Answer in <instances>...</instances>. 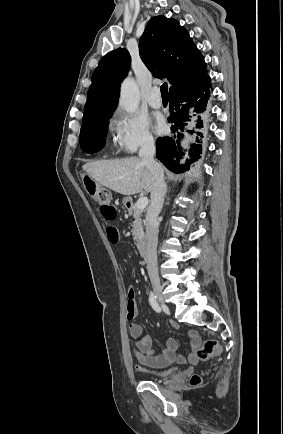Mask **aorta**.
Wrapping results in <instances>:
<instances>
[{"label": "aorta", "instance_id": "obj_1", "mask_svg": "<svg viewBox=\"0 0 283 434\" xmlns=\"http://www.w3.org/2000/svg\"><path fill=\"white\" fill-rule=\"evenodd\" d=\"M140 96L138 86L133 78H126L121 84L120 106L129 113H133L139 106Z\"/></svg>", "mask_w": 283, "mask_h": 434}]
</instances>
